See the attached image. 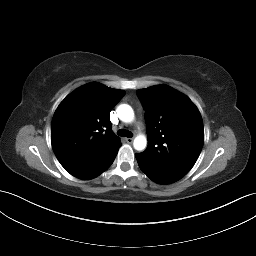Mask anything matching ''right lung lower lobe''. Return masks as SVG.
<instances>
[{"label": "right lung lower lobe", "instance_id": "98d812e1", "mask_svg": "<svg viewBox=\"0 0 256 256\" xmlns=\"http://www.w3.org/2000/svg\"><path fill=\"white\" fill-rule=\"evenodd\" d=\"M117 152L118 149L104 156H101L89 163L71 168L67 171L71 175L79 179L88 180L95 178L111 166L117 155Z\"/></svg>", "mask_w": 256, "mask_h": 256}]
</instances>
